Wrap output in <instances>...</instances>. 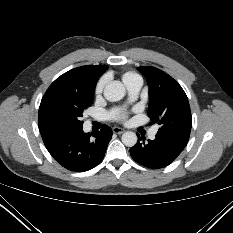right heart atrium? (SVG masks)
<instances>
[{"label":"right heart atrium","instance_id":"obj_1","mask_svg":"<svg viewBox=\"0 0 233 233\" xmlns=\"http://www.w3.org/2000/svg\"><path fill=\"white\" fill-rule=\"evenodd\" d=\"M105 85H106V79L105 78H101L97 82V84L95 86V95H96V97H99L102 94Z\"/></svg>","mask_w":233,"mask_h":233}]
</instances>
